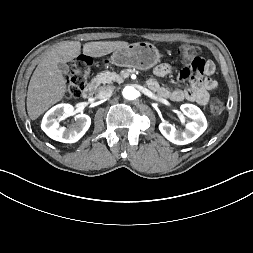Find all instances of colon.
<instances>
[{
	"label": "colon",
	"instance_id": "1",
	"mask_svg": "<svg viewBox=\"0 0 253 253\" xmlns=\"http://www.w3.org/2000/svg\"><path fill=\"white\" fill-rule=\"evenodd\" d=\"M201 48L195 44H184L179 50V56L183 64L189 63L194 57L199 56ZM92 73V61L87 56H80L71 64L70 72L66 78L65 95L68 99L78 98L88 84ZM181 76V75H180ZM225 109L224 102L219 98H213L209 104L212 116L219 117Z\"/></svg>",
	"mask_w": 253,
	"mask_h": 253
}]
</instances>
